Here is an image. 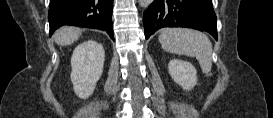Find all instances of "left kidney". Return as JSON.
Wrapping results in <instances>:
<instances>
[{
    "instance_id": "left-kidney-1",
    "label": "left kidney",
    "mask_w": 273,
    "mask_h": 118,
    "mask_svg": "<svg viewBox=\"0 0 273 118\" xmlns=\"http://www.w3.org/2000/svg\"><path fill=\"white\" fill-rule=\"evenodd\" d=\"M168 70L172 79L184 90H191L197 84V71L187 61L173 59L168 64Z\"/></svg>"
}]
</instances>
